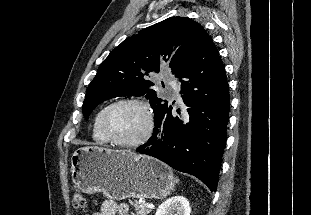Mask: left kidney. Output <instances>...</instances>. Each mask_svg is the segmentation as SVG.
Returning <instances> with one entry per match:
<instances>
[{
    "mask_svg": "<svg viewBox=\"0 0 311 215\" xmlns=\"http://www.w3.org/2000/svg\"><path fill=\"white\" fill-rule=\"evenodd\" d=\"M189 201L184 196H174L163 202L155 215H190Z\"/></svg>",
    "mask_w": 311,
    "mask_h": 215,
    "instance_id": "obj_1",
    "label": "left kidney"
}]
</instances>
